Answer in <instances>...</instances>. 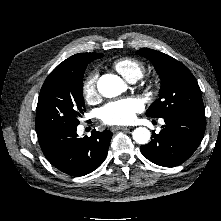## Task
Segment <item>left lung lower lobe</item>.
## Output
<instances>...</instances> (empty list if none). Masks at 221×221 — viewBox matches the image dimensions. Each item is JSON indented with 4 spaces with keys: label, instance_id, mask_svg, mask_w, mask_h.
I'll use <instances>...</instances> for the list:
<instances>
[{
    "label": "left lung lower lobe",
    "instance_id": "0a47b994",
    "mask_svg": "<svg viewBox=\"0 0 221 221\" xmlns=\"http://www.w3.org/2000/svg\"><path fill=\"white\" fill-rule=\"evenodd\" d=\"M159 134L153 133L151 142L142 145V154L151 162L174 167L185 162L199 146L205 131V117L177 114L164 118Z\"/></svg>",
    "mask_w": 221,
    "mask_h": 221
}]
</instances>
